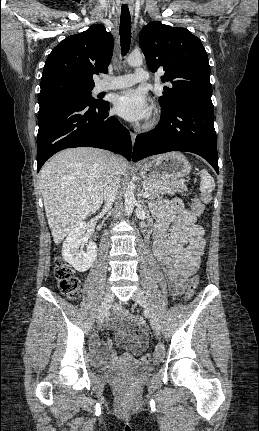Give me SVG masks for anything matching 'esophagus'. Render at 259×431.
I'll use <instances>...</instances> for the list:
<instances>
[{"label":"esophagus","mask_w":259,"mask_h":431,"mask_svg":"<svg viewBox=\"0 0 259 431\" xmlns=\"http://www.w3.org/2000/svg\"><path fill=\"white\" fill-rule=\"evenodd\" d=\"M126 3H128V0H125ZM132 11V9H130ZM130 137H131V141L134 144L135 143V139H136V134L133 132H130Z\"/></svg>","instance_id":"obj_1"}]
</instances>
